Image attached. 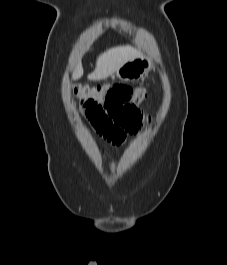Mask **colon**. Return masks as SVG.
Masks as SVG:
<instances>
[{"mask_svg": "<svg viewBox=\"0 0 227 265\" xmlns=\"http://www.w3.org/2000/svg\"><path fill=\"white\" fill-rule=\"evenodd\" d=\"M75 97L81 102H102L107 116L115 120V125L128 134L136 133L143 123L139 105L148 96L146 89L125 83L109 85L76 84L71 87Z\"/></svg>", "mask_w": 227, "mask_h": 265, "instance_id": "5ec220e1", "label": "colon"}]
</instances>
